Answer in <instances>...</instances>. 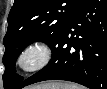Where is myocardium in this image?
<instances>
[{
    "label": "myocardium",
    "instance_id": "myocardium-1",
    "mask_svg": "<svg viewBox=\"0 0 107 89\" xmlns=\"http://www.w3.org/2000/svg\"><path fill=\"white\" fill-rule=\"evenodd\" d=\"M35 55L36 59L32 64L27 63V58ZM52 58L50 45L43 40H36L27 44L19 53L17 66L25 73H34L48 65Z\"/></svg>",
    "mask_w": 107,
    "mask_h": 89
}]
</instances>
